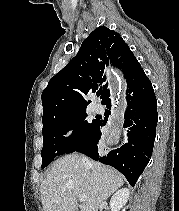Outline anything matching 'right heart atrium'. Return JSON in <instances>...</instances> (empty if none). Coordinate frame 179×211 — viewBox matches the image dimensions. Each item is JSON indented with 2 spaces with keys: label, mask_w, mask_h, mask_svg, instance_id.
I'll return each instance as SVG.
<instances>
[{
  "label": "right heart atrium",
  "mask_w": 179,
  "mask_h": 211,
  "mask_svg": "<svg viewBox=\"0 0 179 211\" xmlns=\"http://www.w3.org/2000/svg\"><path fill=\"white\" fill-rule=\"evenodd\" d=\"M75 132V128L73 126H70L65 131V136L70 137Z\"/></svg>",
  "instance_id": "obj_1"
}]
</instances>
